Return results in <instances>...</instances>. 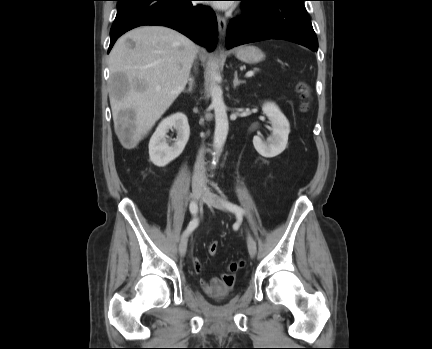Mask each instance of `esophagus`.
<instances>
[{
    "label": "esophagus",
    "instance_id": "esophagus-1",
    "mask_svg": "<svg viewBox=\"0 0 432 349\" xmlns=\"http://www.w3.org/2000/svg\"><path fill=\"white\" fill-rule=\"evenodd\" d=\"M217 22H218L219 34L221 37H223L225 32H226V27H227L226 18L223 17L221 14L217 13Z\"/></svg>",
    "mask_w": 432,
    "mask_h": 349
}]
</instances>
